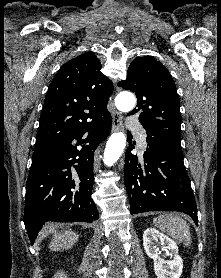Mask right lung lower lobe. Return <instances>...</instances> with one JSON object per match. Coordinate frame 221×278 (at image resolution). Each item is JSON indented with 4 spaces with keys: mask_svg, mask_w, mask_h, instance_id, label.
Listing matches in <instances>:
<instances>
[{
    "mask_svg": "<svg viewBox=\"0 0 221 278\" xmlns=\"http://www.w3.org/2000/svg\"><path fill=\"white\" fill-rule=\"evenodd\" d=\"M111 125L109 115L34 149L24 211L31 244L46 221L91 223L98 219L91 198L94 151L110 134Z\"/></svg>",
    "mask_w": 221,
    "mask_h": 278,
    "instance_id": "1",
    "label": "right lung lower lobe"
}]
</instances>
